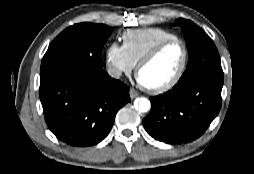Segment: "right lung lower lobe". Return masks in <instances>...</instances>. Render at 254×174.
<instances>
[{
  "label": "right lung lower lobe",
  "instance_id": "obj_1",
  "mask_svg": "<svg viewBox=\"0 0 254 174\" xmlns=\"http://www.w3.org/2000/svg\"><path fill=\"white\" fill-rule=\"evenodd\" d=\"M39 95L48 128L77 147L102 141L118 110L130 102L129 87L104 70L58 79L40 87Z\"/></svg>",
  "mask_w": 254,
  "mask_h": 174
}]
</instances>
